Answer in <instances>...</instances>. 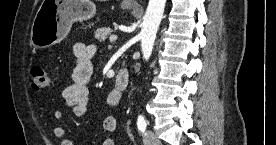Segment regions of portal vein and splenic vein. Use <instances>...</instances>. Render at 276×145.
<instances>
[{
    "mask_svg": "<svg viewBox=\"0 0 276 145\" xmlns=\"http://www.w3.org/2000/svg\"><path fill=\"white\" fill-rule=\"evenodd\" d=\"M109 40H110V42H114V41L117 40V36L116 35H112V36H110Z\"/></svg>",
    "mask_w": 276,
    "mask_h": 145,
    "instance_id": "obj_1",
    "label": "portal vein and splenic vein"
}]
</instances>
